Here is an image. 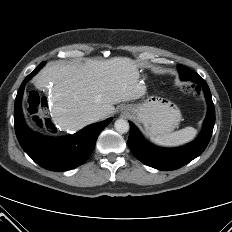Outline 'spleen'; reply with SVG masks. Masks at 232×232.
Listing matches in <instances>:
<instances>
[{
  "instance_id": "spleen-1",
  "label": "spleen",
  "mask_w": 232,
  "mask_h": 232,
  "mask_svg": "<svg viewBox=\"0 0 232 232\" xmlns=\"http://www.w3.org/2000/svg\"><path fill=\"white\" fill-rule=\"evenodd\" d=\"M197 130L193 127H186L181 130L165 135H152L151 141L157 145L165 147H176L192 141Z\"/></svg>"
}]
</instances>
